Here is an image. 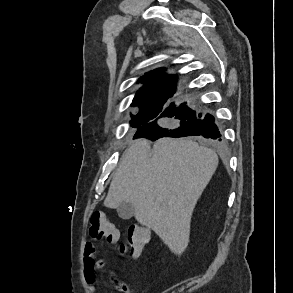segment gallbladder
<instances>
[{"mask_svg": "<svg viewBox=\"0 0 293 293\" xmlns=\"http://www.w3.org/2000/svg\"><path fill=\"white\" fill-rule=\"evenodd\" d=\"M116 210L119 217L124 220L130 219L134 214V207L132 204L128 202L120 203L119 206L116 208Z\"/></svg>", "mask_w": 293, "mask_h": 293, "instance_id": "obj_1", "label": "gallbladder"}]
</instances>
